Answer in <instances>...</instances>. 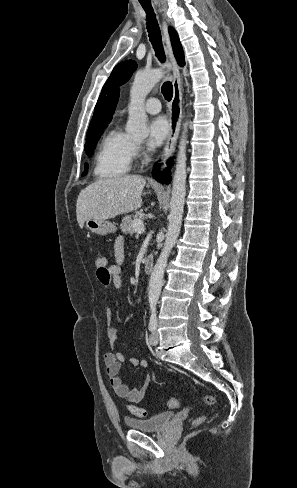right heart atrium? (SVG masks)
<instances>
[{
    "label": "right heart atrium",
    "mask_w": 297,
    "mask_h": 488,
    "mask_svg": "<svg viewBox=\"0 0 297 488\" xmlns=\"http://www.w3.org/2000/svg\"><path fill=\"white\" fill-rule=\"evenodd\" d=\"M131 151H132V155L136 156L138 154L143 153L144 149L140 143L132 141L131 142Z\"/></svg>",
    "instance_id": "d8ad5b80"
}]
</instances>
